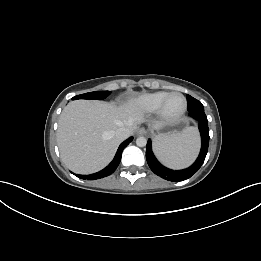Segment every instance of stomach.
I'll list each match as a JSON object with an SVG mask.
<instances>
[{"label": "stomach", "instance_id": "1", "mask_svg": "<svg viewBox=\"0 0 261 261\" xmlns=\"http://www.w3.org/2000/svg\"><path fill=\"white\" fill-rule=\"evenodd\" d=\"M185 127H186V121L184 120L171 124H164L157 129L158 130L157 137H165V136H170V135L180 133L184 130Z\"/></svg>", "mask_w": 261, "mask_h": 261}]
</instances>
